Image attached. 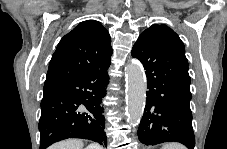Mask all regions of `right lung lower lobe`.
<instances>
[{"instance_id": "1", "label": "right lung lower lobe", "mask_w": 227, "mask_h": 149, "mask_svg": "<svg viewBox=\"0 0 227 149\" xmlns=\"http://www.w3.org/2000/svg\"><path fill=\"white\" fill-rule=\"evenodd\" d=\"M102 67L44 90L39 120L40 149L67 138H83L107 146L101 106L108 84Z\"/></svg>"}]
</instances>
